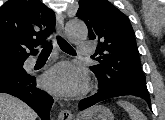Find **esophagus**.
I'll return each mask as SVG.
<instances>
[{
  "instance_id": "1",
  "label": "esophagus",
  "mask_w": 165,
  "mask_h": 120,
  "mask_svg": "<svg viewBox=\"0 0 165 120\" xmlns=\"http://www.w3.org/2000/svg\"><path fill=\"white\" fill-rule=\"evenodd\" d=\"M57 30L61 37H65L64 32V16L61 13L56 15ZM59 120H72L73 114L70 110H62L58 116Z\"/></svg>"
}]
</instances>
